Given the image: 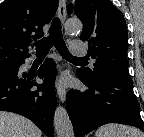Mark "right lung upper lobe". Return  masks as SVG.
I'll list each match as a JSON object with an SVG mask.
<instances>
[{"label":"right lung upper lobe","instance_id":"cb5924a9","mask_svg":"<svg viewBox=\"0 0 144 137\" xmlns=\"http://www.w3.org/2000/svg\"><path fill=\"white\" fill-rule=\"evenodd\" d=\"M58 0H5L0 5V71L19 65L28 54L32 39L44 35Z\"/></svg>","mask_w":144,"mask_h":137}]
</instances>
